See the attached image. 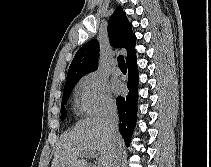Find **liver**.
Returning <instances> with one entry per match:
<instances>
[{"label":"liver","instance_id":"6515ba94","mask_svg":"<svg viewBox=\"0 0 211 167\" xmlns=\"http://www.w3.org/2000/svg\"><path fill=\"white\" fill-rule=\"evenodd\" d=\"M123 148L118 133L115 140L108 131L104 118H88L80 121L57 143L51 167H88L83 155L98 151V167H112L117 150Z\"/></svg>","mask_w":211,"mask_h":167}]
</instances>
